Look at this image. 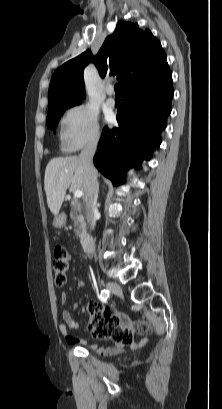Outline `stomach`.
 Masks as SVG:
<instances>
[{"instance_id":"1","label":"stomach","mask_w":222,"mask_h":409,"mask_svg":"<svg viewBox=\"0 0 222 409\" xmlns=\"http://www.w3.org/2000/svg\"><path fill=\"white\" fill-rule=\"evenodd\" d=\"M65 224H66V215L64 213L58 214L54 219L53 225L56 228H62L65 226Z\"/></svg>"}]
</instances>
